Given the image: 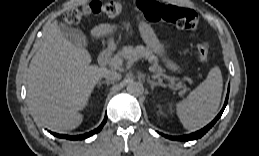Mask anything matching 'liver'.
<instances>
[{"label": "liver", "instance_id": "obj_1", "mask_svg": "<svg viewBox=\"0 0 259 156\" xmlns=\"http://www.w3.org/2000/svg\"><path fill=\"white\" fill-rule=\"evenodd\" d=\"M89 52L69 42L52 22L32 58L27 76L30 110L48 129L72 130L83 121L80 114L107 71L90 65Z\"/></svg>", "mask_w": 259, "mask_h": 156}]
</instances>
